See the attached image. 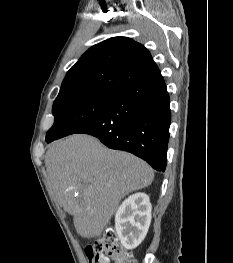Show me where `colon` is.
<instances>
[{
    "mask_svg": "<svg viewBox=\"0 0 233 263\" xmlns=\"http://www.w3.org/2000/svg\"><path fill=\"white\" fill-rule=\"evenodd\" d=\"M91 263H137L133 253L124 248L114 230H106L85 249Z\"/></svg>",
    "mask_w": 233,
    "mask_h": 263,
    "instance_id": "colon-1",
    "label": "colon"
}]
</instances>
